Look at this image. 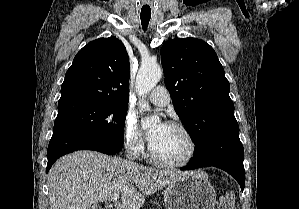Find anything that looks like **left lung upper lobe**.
<instances>
[{"instance_id": "5c2ea615", "label": "left lung upper lobe", "mask_w": 299, "mask_h": 209, "mask_svg": "<svg viewBox=\"0 0 299 209\" xmlns=\"http://www.w3.org/2000/svg\"><path fill=\"white\" fill-rule=\"evenodd\" d=\"M161 62L175 111L198 153L212 135L237 123L224 68L209 44L192 37L166 42Z\"/></svg>"}]
</instances>
